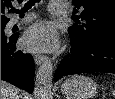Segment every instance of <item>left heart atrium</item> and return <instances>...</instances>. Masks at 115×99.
I'll list each match as a JSON object with an SVG mask.
<instances>
[{
	"mask_svg": "<svg viewBox=\"0 0 115 99\" xmlns=\"http://www.w3.org/2000/svg\"><path fill=\"white\" fill-rule=\"evenodd\" d=\"M59 40L55 28L47 22H39L27 29L22 38L24 48L33 52L52 51Z\"/></svg>",
	"mask_w": 115,
	"mask_h": 99,
	"instance_id": "39dd6f15",
	"label": "left heart atrium"
}]
</instances>
